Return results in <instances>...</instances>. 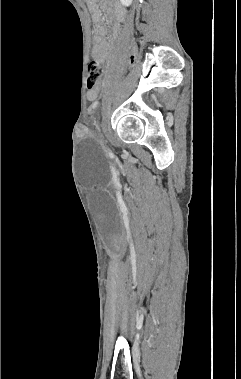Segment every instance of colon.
Here are the masks:
<instances>
[{"mask_svg":"<svg viewBox=\"0 0 241 379\" xmlns=\"http://www.w3.org/2000/svg\"><path fill=\"white\" fill-rule=\"evenodd\" d=\"M129 50L130 51L128 54V58L126 59L125 62L127 65H135L137 60H138L137 57H139V54H140L139 53L140 45L139 44H132ZM87 72H88L87 84L89 87H93L95 85V83L97 82V80L100 78L101 72H102L101 66L96 59H91L89 61ZM121 73L125 74L126 70L122 69ZM96 93H97L98 97L104 96V85L103 84L97 85Z\"/></svg>","mask_w":241,"mask_h":379,"instance_id":"5ec220e1","label":"colon"}]
</instances>
